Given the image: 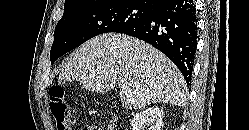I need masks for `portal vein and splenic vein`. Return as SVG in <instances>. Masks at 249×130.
<instances>
[{"label":"portal vein and splenic vein","mask_w":249,"mask_h":130,"mask_svg":"<svg viewBox=\"0 0 249 130\" xmlns=\"http://www.w3.org/2000/svg\"><path fill=\"white\" fill-rule=\"evenodd\" d=\"M122 91H126V87L125 86H122Z\"/></svg>","instance_id":"obj_1"}]
</instances>
